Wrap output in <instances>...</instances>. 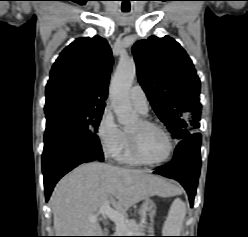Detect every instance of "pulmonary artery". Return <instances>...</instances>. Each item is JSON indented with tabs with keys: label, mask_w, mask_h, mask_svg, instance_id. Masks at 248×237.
<instances>
[{
	"label": "pulmonary artery",
	"mask_w": 248,
	"mask_h": 237,
	"mask_svg": "<svg viewBox=\"0 0 248 237\" xmlns=\"http://www.w3.org/2000/svg\"><path fill=\"white\" fill-rule=\"evenodd\" d=\"M129 98L132 105L138 111H140L143 114L148 112L147 96L140 85L136 84L130 89Z\"/></svg>",
	"instance_id": "obj_1"
}]
</instances>
